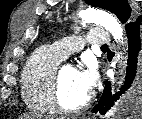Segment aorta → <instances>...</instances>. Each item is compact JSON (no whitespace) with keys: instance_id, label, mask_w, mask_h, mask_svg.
<instances>
[{"instance_id":"obj_1","label":"aorta","mask_w":142,"mask_h":119,"mask_svg":"<svg viewBox=\"0 0 142 119\" xmlns=\"http://www.w3.org/2000/svg\"><path fill=\"white\" fill-rule=\"evenodd\" d=\"M79 16L87 22H94L102 25L111 33L116 41H121L123 39V29L120 23L108 12L96 9H86L80 11Z\"/></svg>"}]
</instances>
